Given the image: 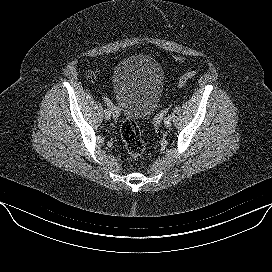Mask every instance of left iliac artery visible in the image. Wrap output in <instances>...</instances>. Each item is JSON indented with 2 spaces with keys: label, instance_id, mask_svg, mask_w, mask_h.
I'll return each mask as SVG.
<instances>
[{
  "label": "left iliac artery",
  "instance_id": "44dca946",
  "mask_svg": "<svg viewBox=\"0 0 272 272\" xmlns=\"http://www.w3.org/2000/svg\"><path fill=\"white\" fill-rule=\"evenodd\" d=\"M166 117H167V119H169V120H170V119H172V117H173V116H172V114H171V113H169V114H167V116H166Z\"/></svg>",
  "mask_w": 272,
  "mask_h": 272
}]
</instances>
